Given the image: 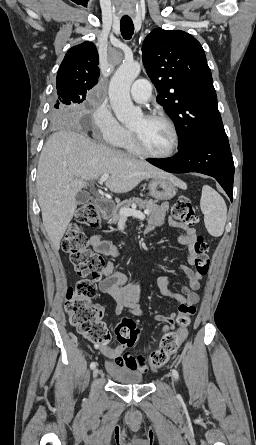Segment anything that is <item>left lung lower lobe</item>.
I'll return each instance as SVG.
<instances>
[{"mask_svg": "<svg viewBox=\"0 0 256 445\" xmlns=\"http://www.w3.org/2000/svg\"><path fill=\"white\" fill-rule=\"evenodd\" d=\"M147 161L170 173L198 172L212 176L233 199L234 162L225 132L197 135L179 147L175 157Z\"/></svg>", "mask_w": 256, "mask_h": 445, "instance_id": "obj_1", "label": "left lung lower lobe"}]
</instances>
